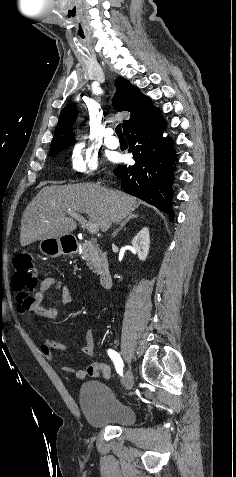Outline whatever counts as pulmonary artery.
<instances>
[{"label": "pulmonary artery", "instance_id": "pulmonary-artery-1", "mask_svg": "<svg viewBox=\"0 0 236 477\" xmlns=\"http://www.w3.org/2000/svg\"><path fill=\"white\" fill-rule=\"evenodd\" d=\"M103 134L105 135L104 142L107 147L112 149L118 148L119 141L115 136H113L112 128L104 129Z\"/></svg>", "mask_w": 236, "mask_h": 477}]
</instances>
